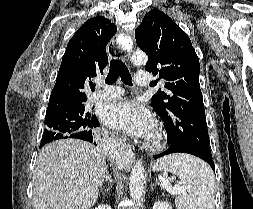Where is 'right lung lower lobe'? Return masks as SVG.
Instances as JSON below:
<instances>
[{"mask_svg": "<svg viewBox=\"0 0 253 209\" xmlns=\"http://www.w3.org/2000/svg\"><path fill=\"white\" fill-rule=\"evenodd\" d=\"M99 126V122L96 118V121L94 122V126L90 128L89 130H84L81 132L73 133L68 136H64L63 138H76V139H82L91 143H94L96 145V142L94 141V138L96 137V133L94 131V128ZM60 136H62L60 134ZM42 147V146H40Z\"/></svg>", "mask_w": 253, "mask_h": 209, "instance_id": "98d812e1", "label": "right lung lower lobe"}]
</instances>
